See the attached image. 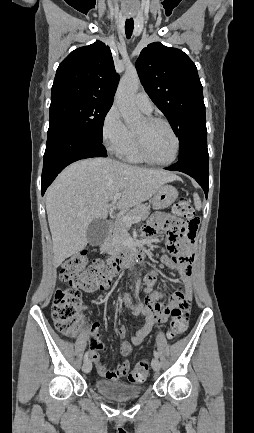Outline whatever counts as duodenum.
<instances>
[{"label":"duodenum","instance_id":"1","mask_svg":"<svg viewBox=\"0 0 254 433\" xmlns=\"http://www.w3.org/2000/svg\"><path fill=\"white\" fill-rule=\"evenodd\" d=\"M108 225H110V222H108ZM145 247V241H141L140 243H129L128 245L114 252L108 263L114 272H121L133 265L138 249H143Z\"/></svg>","mask_w":254,"mask_h":433}]
</instances>
